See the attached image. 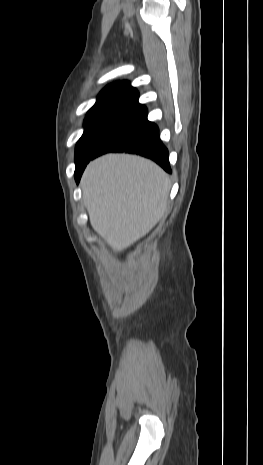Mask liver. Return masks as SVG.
I'll return each instance as SVG.
<instances>
[{"instance_id": "6515ba94", "label": "liver", "mask_w": 263, "mask_h": 465, "mask_svg": "<svg viewBox=\"0 0 263 465\" xmlns=\"http://www.w3.org/2000/svg\"><path fill=\"white\" fill-rule=\"evenodd\" d=\"M81 187L93 229L114 252L145 236L165 215L169 176L143 157L108 154L90 162Z\"/></svg>"}]
</instances>
